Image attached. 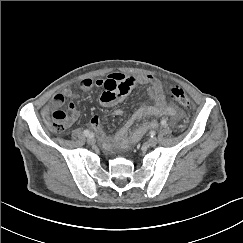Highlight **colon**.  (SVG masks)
Here are the masks:
<instances>
[{
	"label": "colon",
	"instance_id": "5ec220e1",
	"mask_svg": "<svg viewBox=\"0 0 243 243\" xmlns=\"http://www.w3.org/2000/svg\"><path fill=\"white\" fill-rule=\"evenodd\" d=\"M170 98L184 109H191L192 102L184 90L179 86H174L169 91ZM52 130L63 132L68 128V117L63 110H55L45 115Z\"/></svg>",
	"mask_w": 243,
	"mask_h": 243
}]
</instances>
